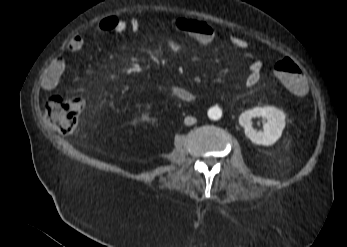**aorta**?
<instances>
[{
	"mask_svg": "<svg viewBox=\"0 0 347 247\" xmlns=\"http://www.w3.org/2000/svg\"><path fill=\"white\" fill-rule=\"evenodd\" d=\"M208 116L212 120H219L222 116V111L219 108H211L208 111Z\"/></svg>",
	"mask_w": 347,
	"mask_h": 247,
	"instance_id": "762f6f07",
	"label": "aorta"
}]
</instances>
